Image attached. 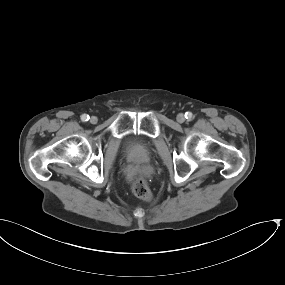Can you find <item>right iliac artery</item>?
<instances>
[{
  "label": "right iliac artery",
  "instance_id": "82829eb1",
  "mask_svg": "<svg viewBox=\"0 0 285 285\" xmlns=\"http://www.w3.org/2000/svg\"><path fill=\"white\" fill-rule=\"evenodd\" d=\"M89 115H87V114H83L82 116H81V120L83 121V122H86V121H88L89 120Z\"/></svg>",
  "mask_w": 285,
  "mask_h": 285
}]
</instances>
